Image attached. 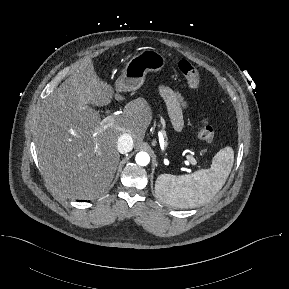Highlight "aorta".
I'll return each instance as SVG.
<instances>
[{
  "label": "aorta",
  "instance_id": "obj_1",
  "mask_svg": "<svg viewBox=\"0 0 289 289\" xmlns=\"http://www.w3.org/2000/svg\"><path fill=\"white\" fill-rule=\"evenodd\" d=\"M136 163L140 166H147L150 162V156L146 152H139L135 157Z\"/></svg>",
  "mask_w": 289,
  "mask_h": 289
}]
</instances>
